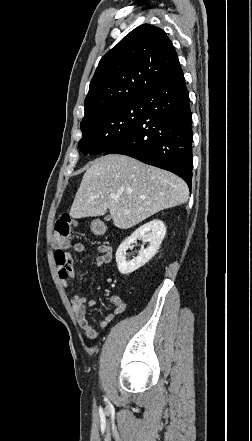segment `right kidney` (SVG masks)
I'll use <instances>...</instances> for the list:
<instances>
[{"instance_id":"right-kidney-1","label":"right kidney","mask_w":252,"mask_h":441,"mask_svg":"<svg viewBox=\"0 0 252 441\" xmlns=\"http://www.w3.org/2000/svg\"><path fill=\"white\" fill-rule=\"evenodd\" d=\"M165 234L166 227L159 219L152 220L138 228L120 244L116 251L119 272L128 275L144 266L157 253ZM138 238H142L143 242H149V246L145 249L141 248L139 255L131 261H126V251Z\"/></svg>"}]
</instances>
